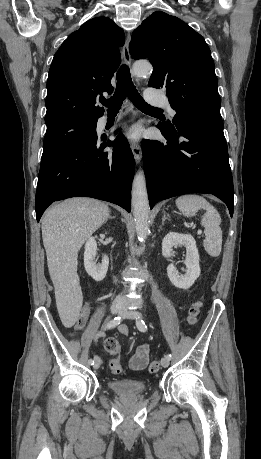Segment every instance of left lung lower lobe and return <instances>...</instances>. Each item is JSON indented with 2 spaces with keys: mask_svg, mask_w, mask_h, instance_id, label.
<instances>
[{
  "mask_svg": "<svg viewBox=\"0 0 261 459\" xmlns=\"http://www.w3.org/2000/svg\"><path fill=\"white\" fill-rule=\"evenodd\" d=\"M167 143L145 140L143 161L150 208L187 193H211L233 215L234 190L223 124H195L171 131L158 123Z\"/></svg>",
  "mask_w": 261,
  "mask_h": 459,
  "instance_id": "1",
  "label": "left lung lower lobe"
}]
</instances>
